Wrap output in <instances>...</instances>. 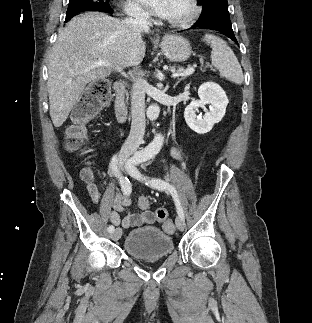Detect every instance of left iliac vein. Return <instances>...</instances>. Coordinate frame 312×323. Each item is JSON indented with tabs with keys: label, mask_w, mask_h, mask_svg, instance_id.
Wrapping results in <instances>:
<instances>
[{
	"label": "left iliac vein",
	"mask_w": 312,
	"mask_h": 323,
	"mask_svg": "<svg viewBox=\"0 0 312 323\" xmlns=\"http://www.w3.org/2000/svg\"><path fill=\"white\" fill-rule=\"evenodd\" d=\"M132 175V174H131ZM132 177L134 178V179H136V180H139V177H136V176H133L132 175ZM176 226H177V228L179 229V230H184V228H185V222H184V219H183V217L182 216H178L177 218H176Z\"/></svg>",
	"instance_id": "left-iliac-vein-1"
}]
</instances>
